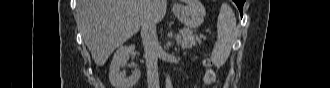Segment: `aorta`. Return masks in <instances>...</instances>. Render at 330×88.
I'll return each instance as SVG.
<instances>
[{
	"label": "aorta",
	"mask_w": 330,
	"mask_h": 88,
	"mask_svg": "<svg viewBox=\"0 0 330 88\" xmlns=\"http://www.w3.org/2000/svg\"><path fill=\"white\" fill-rule=\"evenodd\" d=\"M165 87H166V88H172V81H171L169 75L166 76Z\"/></svg>",
	"instance_id": "aorta-1"
}]
</instances>
